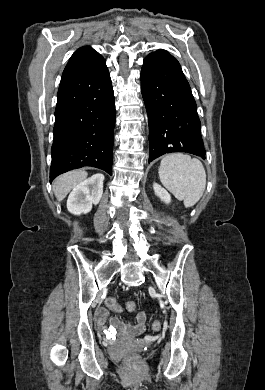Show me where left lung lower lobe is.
Here are the masks:
<instances>
[{"label": "left lung lower lobe", "instance_id": "1", "mask_svg": "<svg viewBox=\"0 0 265 390\" xmlns=\"http://www.w3.org/2000/svg\"><path fill=\"white\" fill-rule=\"evenodd\" d=\"M141 91L149 115V161L183 152L206 158L191 88L179 62L152 52L143 61Z\"/></svg>", "mask_w": 265, "mask_h": 390}]
</instances>
